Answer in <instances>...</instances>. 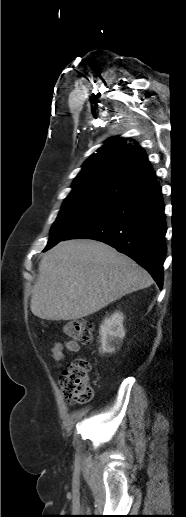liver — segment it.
<instances>
[{"instance_id": "liver-1", "label": "liver", "mask_w": 186, "mask_h": 517, "mask_svg": "<svg viewBox=\"0 0 186 517\" xmlns=\"http://www.w3.org/2000/svg\"><path fill=\"white\" fill-rule=\"evenodd\" d=\"M38 270L30 308L53 321L86 317L153 283L134 260L89 239L60 242L43 255Z\"/></svg>"}]
</instances>
